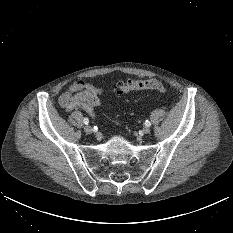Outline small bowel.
<instances>
[{
    "label": "small bowel",
    "mask_w": 233,
    "mask_h": 233,
    "mask_svg": "<svg viewBox=\"0 0 233 233\" xmlns=\"http://www.w3.org/2000/svg\"><path fill=\"white\" fill-rule=\"evenodd\" d=\"M102 94L103 89L101 87L78 79L59 97V104L66 112L83 109L87 114L95 117L96 108L102 104L100 99Z\"/></svg>",
    "instance_id": "c3829d8e"
}]
</instances>
